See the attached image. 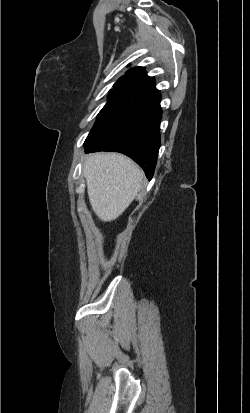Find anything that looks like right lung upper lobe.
Instances as JSON below:
<instances>
[{"label": "right lung upper lobe", "instance_id": "cb5924a9", "mask_svg": "<svg viewBox=\"0 0 250 413\" xmlns=\"http://www.w3.org/2000/svg\"><path fill=\"white\" fill-rule=\"evenodd\" d=\"M117 93L134 94L137 97L159 93L155 88V80L146 75L143 67H135L118 79L113 86Z\"/></svg>", "mask_w": 250, "mask_h": 413}]
</instances>
